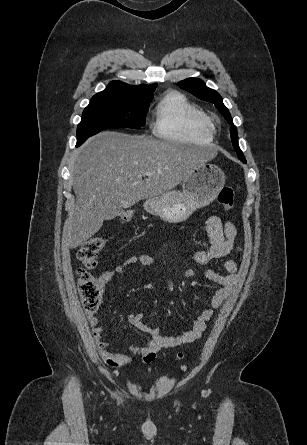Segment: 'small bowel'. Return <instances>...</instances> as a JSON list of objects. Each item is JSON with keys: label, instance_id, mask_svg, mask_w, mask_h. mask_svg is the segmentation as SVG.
Segmentation results:
<instances>
[{"label": "small bowel", "instance_id": "c3829d8e", "mask_svg": "<svg viewBox=\"0 0 307 445\" xmlns=\"http://www.w3.org/2000/svg\"><path fill=\"white\" fill-rule=\"evenodd\" d=\"M208 235V248L193 255L194 262L205 267L212 260L221 261L220 269L215 270L205 267V277L217 284L219 288L213 294L210 305L205 308L193 321L191 328L177 336H163L159 328L148 326L143 322V313L128 315V322L136 329L148 334L150 339L143 345H132L127 353H115L102 337V329L99 326L98 317L89 314L88 321L92 329L93 338L100 357L112 367L129 364L133 356L142 355L144 362L149 363L155 359L156 353L164 348H174L199 339L216 309L229 296L235 283L238 270L237 263L231 259H225L237 247L235 245L236 228L231 221H222L218 216H210L206 221ZM131 266H144L155 268L157 263L154 258L146 254L128 256L121 264L103 271L99 276L102 287L115 276L125 273V269Z\"/></svg>", "mask_w": 307, "mask_h": 445}]
</instances>
